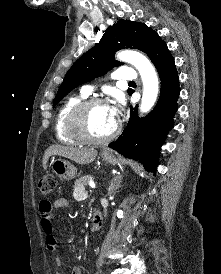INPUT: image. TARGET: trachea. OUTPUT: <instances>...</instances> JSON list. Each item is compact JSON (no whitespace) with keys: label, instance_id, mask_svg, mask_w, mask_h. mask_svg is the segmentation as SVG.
<instances>
[{"label":"trachea","instance_id":"3493384b","mask_svg":"<svg viewBox=\"0 0 221 274\" xmlns=\"http://www.w3.org/2000/svg\"><path fill=\"white\" fill-rule=\"evenodd\" d=\"M130 84H134L135 82L134 81H131V82H129Z\"/></svg>","mask_w":221,"mask_h":274}]
</instances>
